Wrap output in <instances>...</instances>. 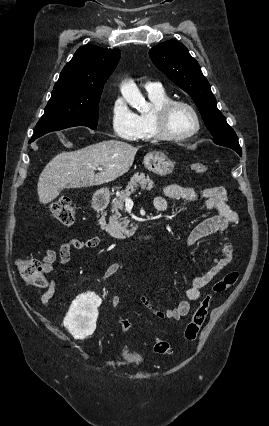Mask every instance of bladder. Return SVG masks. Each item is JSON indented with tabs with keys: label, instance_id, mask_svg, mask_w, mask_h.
Here are the masks:
<instances>
[{
	"label": "bladder",
	"instance_id": "bladder-1",
	"mask_svg": "<svg viewBox=\"0 0 269 426\" xmlns=\"http://www.w3.org/2000/svg\"><path fill=\"white\" fill-rule=\"evenodd\" d=\"M123 357L127 362L130 363H141L143 361V356L135 351L132 350H125L123 353Z\"/></svg>",
	"mask_w": 269,
	"mask_h": 426
}]
</instances>
